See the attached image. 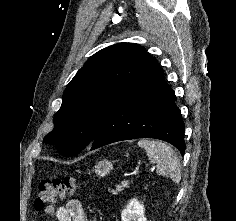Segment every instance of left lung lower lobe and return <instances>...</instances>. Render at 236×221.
<instances>
[{"mask_svg":"<svg viewBox=\"0 0 236 221\" xmlns=\"http://www.w3.org/2000/svg\"><path fill=\"white\" fill-rule=\"evenodd\" d=\"M184 129L174 91L157 65L104 121L91 150L122 140L156 138L174 145L184 155Z\"/></svg>","mask_w":236,"mask_h":221,"instance_id":"0a47b994","label":"left lung lower lobe"}]
</instances>
